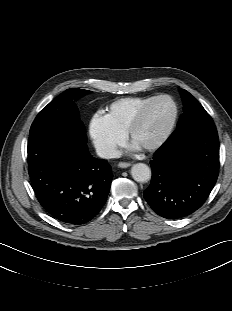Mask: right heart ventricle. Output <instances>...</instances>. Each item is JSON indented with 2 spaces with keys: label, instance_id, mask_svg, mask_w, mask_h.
I'll return each mask as SVG.
<instances>
[{
  "label": "right heart ventricle",
  "instance_id": "right-heart-ventricle-1",
  "mask_svg": "<svg viewBox=\"0 0 232 311\" xmlns=\"http://www.w3.org/2000/svg\"><path fill=\"white\" fill-rule=\"evenodd\" d=\"M154 96H130L112 101L107 105L104 117L118 133L124 134L137 111Z\"/></svg>",
  "mask_w": 232,
  "mask_h": 311
}]
</instances>
